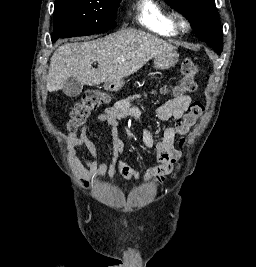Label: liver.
<instances>
[{"label": "liver", "mask_w": 256, "mask_h": 267, "mask_svg": "<svg viewBox=\"0 0 256 267\" xmlns=\"http://www.w3.org/2000/svg\"><path fill=\"white\" fill-rule=\"evenodd\" d=\"M175 46L141 30L121 28L95 42L63 44L54 52L47 76V92L61 90L65 80L77 78L86 86L122 80L135 74L144 64ZM98 62V68H92Z\"/></svg>", "instance_id": "obj_1"}]
</instances>
